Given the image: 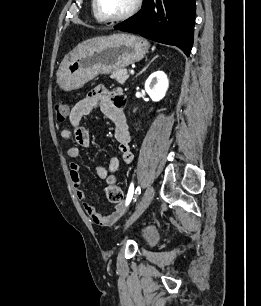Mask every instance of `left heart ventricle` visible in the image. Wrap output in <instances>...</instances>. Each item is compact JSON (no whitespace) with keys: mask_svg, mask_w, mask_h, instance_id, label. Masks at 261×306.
I'll return each instance as SVG.
<instances>
[{"mask_svg":"<svg viewBox=\"0 0 261 306\" xmlns=\"http://www.w3.org/2000/svg\"><path fill=\"white\" fill-rule=\"evenodd\" d=\"M135 0H99L101 12L109 17H115L126 13Z\"/></svg>","mask_w":261,"mask_h":306,"instance_id":"obj_1","label":"left heart ventricle"}]
</instances>
